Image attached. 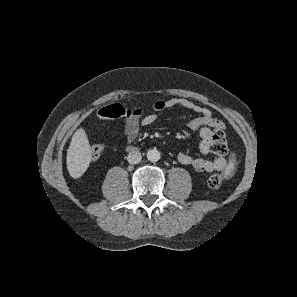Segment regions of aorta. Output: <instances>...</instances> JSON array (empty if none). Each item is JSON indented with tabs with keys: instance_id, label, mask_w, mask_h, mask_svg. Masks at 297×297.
Here are the masks:
<instances>
[{
	"instance_id": "762f6f07",
	"label": "aorta",
	"mask_w": 297,
	"mask_h": 297,
	"mask_svg": "<svg viewBox=\"0 0 297 297\" xmlns=\"http://www.w3.org/2000/svg\"><path fill=\"white\" fill-rule=\"evenodd\" d=\"M147 159L150 162H157L160 159V152L154 148L147 152Z\"/></svg>"
}]
</instances>
